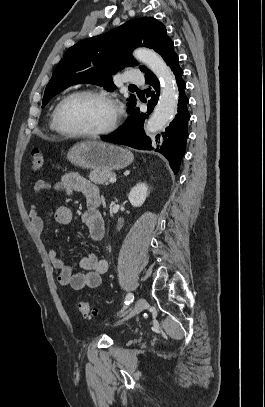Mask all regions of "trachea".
I'll use <instances>...</instances> for the list:
<instances>
[{"mask_svg": "<svg viewBox=\"0 0 265 407\" xmlns=\"http://www.w3.org/2000/svg\"><path fill=\"white\" fill-rule=\"evenodd\" d=\"M130 87H135V85H130Z\"/></svg>", "mask_w": 265, "mask_h": 407, "instance_id": "3493384b", "label": "trachea"}]
</instances>
